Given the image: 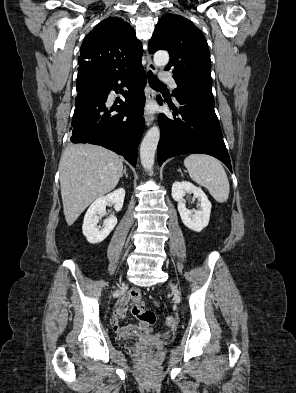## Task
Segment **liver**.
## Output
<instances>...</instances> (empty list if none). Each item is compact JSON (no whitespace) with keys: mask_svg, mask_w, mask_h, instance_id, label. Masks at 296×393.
<instances>
[{"mask_svg":"<svg viewBox=\"0 0 296 393\" xmlns=\"http://www.w3.org/2000/svg\"><path fill=\"white\" fill-rule=\"evenodd\" d=\"M59 170L64 215L71 226L95 199L117 186L123 163L108 149L78 144L62 153Z\"/></svg>","mask_w":296,"mask_h":393,"instance_id":"liver-1","label":"liver"}]
</instances>
